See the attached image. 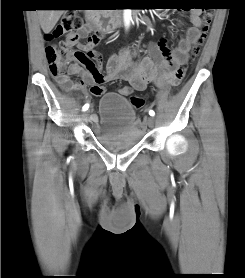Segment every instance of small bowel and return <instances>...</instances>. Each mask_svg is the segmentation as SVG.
Wrapping results in <instances>:
<instances>
[{"instance_id":"obj_1","label":"small bowel","mask_w":245,"mask_h":278,"mask_svg":"<svg viewBox=\"0 0 245 278\" xmlns=\"http://www.w3.org/2000/svg\"><path fill=\"white\" fill-rule=\"evenodd\" d=\"M192 27L188 28L185 37L180 38L175 49L171 50L167 37H162L158 43H149V55L139 62H132L131 53L124 49L110 57L106 73L101 71V62L92 60L93 48L103 39L105 33L94 29L89 24L79 31L65 37L62 43L83 50L87 58L83 62H73L69 65L64 78L69 84H64L56 78L59 86L68 92L78 89H87L91 96H100L105 93L103 83L112 81H127L136 91H144L149 84L155 83L162 87L172 85L178 78L184 76L188 70L189 53L200 40V13L193 11L190 14ZM92 31H94L92 33ZM84 39L80 43V39ZM71 76H78L75 81Z\"/></svg>"}]
</instances>
